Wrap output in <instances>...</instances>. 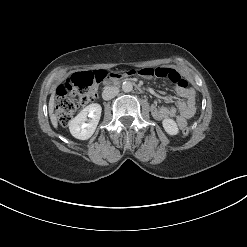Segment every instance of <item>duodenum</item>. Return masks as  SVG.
Segmentation results:
<instances>
[{"label": "duodenum", "instance_id": "1", "mask_svg": "<svg viewBox=\"0 0 247 247\" xmlns=\"http://www.w3.org/2000/svg\"><path fill=\"white\" fill-rule=\"evenodd\" d=\"M121 80V79H120ZM120 80H117L115 83H112V84H109L108 82L106 83V85H105V87L106 88H109V87H111V86H113V85H116L117 83H119L120 82ZM139 90H141L140 88H138Z\"/></svg>", "mask_w": 247, "mask_h": 247}]
</instances>
